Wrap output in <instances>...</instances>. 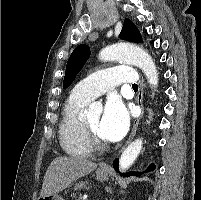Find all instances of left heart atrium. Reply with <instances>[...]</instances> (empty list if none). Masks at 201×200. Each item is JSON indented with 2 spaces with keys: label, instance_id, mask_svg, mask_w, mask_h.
Segmentation results:
<instances>
[{
  "label": "left heart atrium",
  "instance_id": "39dd6f15",
  "mask_svg": "<svg viewBox=\"0 0 201 200\" xmlns=\"http://www.w3.org/2000/svg\"><path fill=\"white\" fill-rule=\"evenodd\" d=\"M130 116L126 106L118 99L107 101L100 125V135L109 142L121 140L127 133Z\"/></svg>",
  "mask_w": 201,
  "mask_h": 200
}]
</instances>
